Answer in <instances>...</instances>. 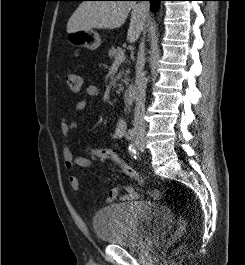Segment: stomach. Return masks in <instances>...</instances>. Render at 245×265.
I'll use <instances>...</instances> for the list:
<instances>
[{
    "instance_id": "0dacf381",
    "label": "stomach",
    "mask_w": 245,
    "mask_h": 265,
    "mask_svg": "<svg viewBox=\"0 0 245 265\" xmlns=\"http://www.w3.org/2000/svg\"><path fill=\"white\" fill-rule=\"evenodd\" d=\"M67 41L72 46L85 47L90 50H95L101 45L99 34L92 29L70 33Z\"/></svg>"
}]
</instances>
